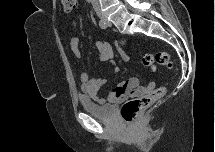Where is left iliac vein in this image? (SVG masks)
<instances>
[{"label":"left iliac vein","mask_w":215,"mask_h":152,"mask_svg":"<svg viewBox=\"0 0 215 152\" xmlns=\"http://www.w3.org/2000/svg\"><path fill=\"white\" fill-rule=\"evenodd\" d=\"M106 23H107L108 26H111V23L109 21H106Z\"/></svg>","instance_id":"obj_1"}]
</instances>
